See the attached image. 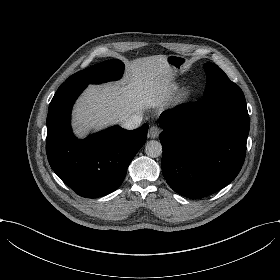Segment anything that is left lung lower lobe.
I'll return each mask as SVG.
<instances>
[{
	"label": "left lung lower lobe",
	"mask_w": 280,
	"mask_h": 280,
	"mask_svg": "<svg viewBox=\"0 0 280 280\" xmlns=\"http://www.w3.org/2000/svg\"><path fill=\"white\" fill-rule=\"evenodd\" d=\"M159 123L162 172L178 194L206 197L240 172L250 120L239 86L166 111Z\"/></svg>",
	"instance_id": "1"
}]
</instances>
